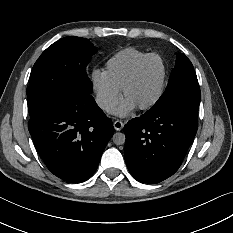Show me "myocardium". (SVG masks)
Segmentation results:
<instances>
[{
	"instance_id": "1",
	"label": "myocardium",
	"mask_w": 233,
	"mask_h": 233,
	"mask_svg": "<svg viewBox=\"0 0 233 233\" xmlns=\"http://www.w3.org/2000/svg\"><path fill=\"white\" fill-rule=\"evenodd\" d=\"M158 57L163 61L164 64V78H163V82L162 85L160 87L159 93L157 94V96L155 97V99L145 105V106H140L138 107L139 110L141 111H149L152 108H154L155 106H157L159 104V102L162 100L164 94H165V90L168 84V80H169V65L165 59V57L160 54V53H149L134 69L133 71L130 73V75L128 76V78L125 80V82L122 85V93L123 95L126 97V93L127 90L130 88V86L135 82V80L138 78L139 74L141 73V71L143 70V68L145 67V65L152 59Z\"/></svg>"
}]
</instances>
